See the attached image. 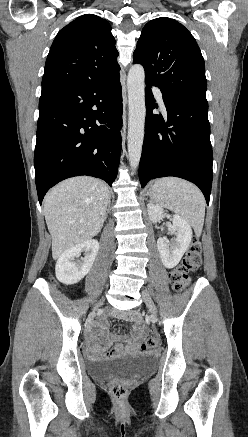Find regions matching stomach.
I'll list each match as a JSON object with an SVG mask.
<instances>
[{
  "mask_svg": "<svg viewBox=\"0 0 248 437\" xmlns=\"http://www.w3.org/2000/svg\"><path fill=\"white\" fill-rule=\"evenodd\" d=\"M150 196L151 197L153 196V190L152 189L150 190Z\"/></svg>",
  "mask_w": 248,
  "mask_h": 437,
  "instance_id": "0dacf381",
  "label": "stomach"
}]
</instances>
